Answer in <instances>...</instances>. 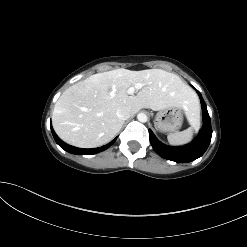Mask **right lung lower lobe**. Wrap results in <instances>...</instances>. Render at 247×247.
Instances as JSON below:
<instances>
[{
  "instance_id": "98d812e1",
  "label": "right lung lower lobe",
  "mask_w": 247,
  "mask_h": 247,
  "mask_svg": "<svg viewBox=\"0 0 247 247\" xmlns=\"http://www.w3.org/2000/svg\"><path fill=\"white\" fill-rule=\"evenodd\" d=\"M51 126V125H50ZM51 131H52V135L56 141V143L63 148L65 151L72 153V154H77V155H92V154H96L99 153L101 151L106 150L108 147H110L115 140L117 139V137L115 139H113L110 143H108L107 145H104L102 147H98V148H93V149H82V148H77V147H73L70 146L66 143H64L54 132L52 126H51Z\"/></svg>"
}]
</instances>
